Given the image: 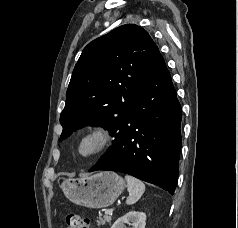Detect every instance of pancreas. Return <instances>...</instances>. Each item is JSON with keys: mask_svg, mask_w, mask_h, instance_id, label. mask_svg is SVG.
Returning a JSON list of instances; mask_svg holds the SVG:
<instances>
[{"mask_svg": "<svg viewBox=\"0 0 238 228\" xmlns=\"http://www.w3.org/2000/svg\"><path fill=\"white\" fill-rule=\"evenodd\" d=\"M110 221H111V215L107 214L103 218H99V220L97 221V225L98 226L105 225L107 222H110Z\"/></svg>", "mask_w": 238, "mask_h": 228, "instance_id": "obj_1", "label": "pancreas"}]
</instances>
